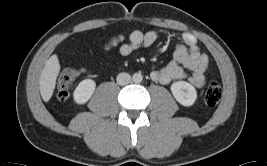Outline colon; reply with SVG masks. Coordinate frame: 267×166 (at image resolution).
Listing matches in <instances>:
<instances>
[{"label":"colon","mask_w":267,"mask_h":166,"mask_svg":"<svg viewBox=\"0 0 267 166\" xmlns=\"http://www.w3.org/2000/svg\"><path fill=\"white\" fill-rule=\"evenodd\" d=\"M117 42H118L117 38L112 39L108 43V46L109 47L114 46L115 44H117ZM74 78L75 77L73 76L72 73L67 72L59 79L56 87V93L57 97L60 100H66L70 96ZM221 97H222V87L220 83H218L217 81H211L208 84L204 93V101L206 105L215 106L216 104H218Z\"/></svg>","instance_id":"colon-1"}]
</instances>
